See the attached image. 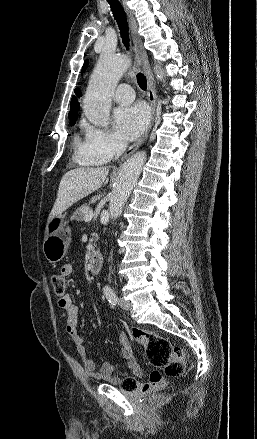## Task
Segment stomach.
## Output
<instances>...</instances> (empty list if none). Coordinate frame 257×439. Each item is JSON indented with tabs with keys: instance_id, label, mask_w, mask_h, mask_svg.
Here are the masks:
<instances>
[{
	"instance_id": "obj_1",
	"label": "stomach",
	"mask_w": 257,
	"mask_h": 439,
	"mask_svg": "<svg viewBox=\"0 0 257 439\" xmlns=\"http://www.w3.org/2000/svg\"><path fill=\"white\" fill-rule=\"evenodd\" d=\"M71 242V229L64 215H57L47 222L43 252L51 263L60 261L67 253Z\"/></svg>"
}]
</instances>
